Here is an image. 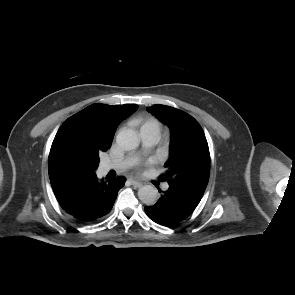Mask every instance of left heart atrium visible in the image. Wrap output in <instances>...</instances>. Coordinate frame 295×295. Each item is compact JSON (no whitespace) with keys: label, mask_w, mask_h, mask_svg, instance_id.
Returning a JSON list of instances; mask_svg holds the SVG:
<instances>
[{"label":"left heart atrium","mask_w":295,"mask_h":295,"mask_svg":"<svg viewBox=\"0 0 295 295\" xmlns=\"http://www.w3.org/2000/svg\"><path fill=\"white\" fill-rule=\"evenodd\" d=\"M153 163V161L152 160H149V161H147L144 165L145 166H149V165H151Z\"/></svg>","instance_id":"39dd6f15"}]
</instances>
